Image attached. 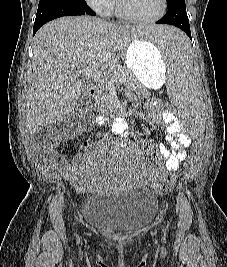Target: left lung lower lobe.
Wrapping results in <instances>:
<instances>
[{"label":"left lung lower lobe","mask_w":227,"mask_h":267,"mask_svg":"<svg viewBox=\"0 0 227 267\" xmlns=\"http://www.w3.org/2000/svg\"><path fill=\"white\" fill-rule=\"evenodd\" d=\"M167 8L168 11L166 12V14L156 23L174 25L183 30L192 40L185 2L170 3L167 5Z\"/></svg>","instance_id":"obj_1"}]
</instances>
